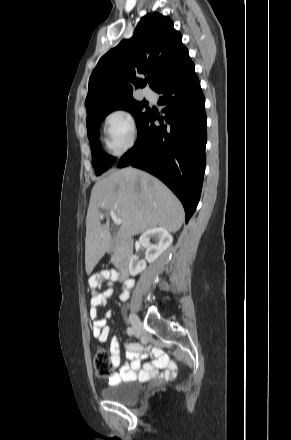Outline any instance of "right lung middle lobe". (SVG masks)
Masks as SVG:
<instances>
[{
	"mask_svg": "<svg viewBox=\"0 0 291 440\" xmlns=\"http://www.w3.org/2000/svg\"><path fill=\"white\" fill-rule=\"evenodd\" d=\"M119 109L131 112L135 117L137 125L141 122L149 110L145 101L139 102L132 97L122 101L101 105L87 112V133L92 152V166L95 169L96 175H100L106 171L115 161L114 157H111L101 151L98 135L99 126L106 115L111 111Z\"/></svg>",
	"mask_w": 291,
	"mask_h": 440,
	"instance_id": "1",
	"label": "right lung middle lobe"
}]
</instances>
